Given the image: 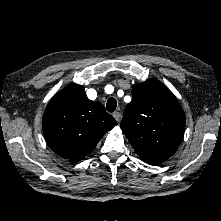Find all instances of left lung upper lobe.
Returning a JSON list of instances; mask_svg holds the SVG:
<instances>
[{"label":"left lung upper lobe","instance_id":"5c2ea615","mask_svg":"<svg viewBox=\"0 0 221 221\" xmlns=\"http://www.w3.org/2000/svg\"><path fill=\"white\" fill-rule=\"evenodd\" d=\"M132 95L120 127L144 162L162 163L181 143L184 111L172 92L154 79L134 84Z\"/></svg>","mask_w":221,"mask_h":221}]
</instances>
